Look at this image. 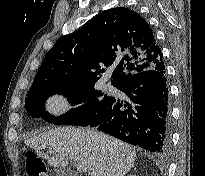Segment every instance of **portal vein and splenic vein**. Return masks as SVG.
<instances>
[{"label":"portal vein and splenic vein","instance_id":"portal-vein-and-splenic-vein-1","mask_svg":"<svg viewBox=\"0 0 205 176\" xmlns=\"http://www.w3.org/2000/svg\"><path fill=\"white\" fill-rule=\"evenodd\" d=\"M72 165H74L77 169L81 170L84 173L87 172V170H88L86 166L81 165L78 162H72Z\"/></svg>","mask_w":205,"mask_h":176}]
</instances>
